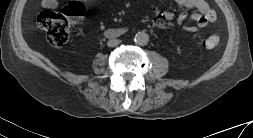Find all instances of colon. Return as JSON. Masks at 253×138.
<instances>
[{"label":"colon","instance_id":"obj_1","mask_svg":"<svg viewBox=\"0 0 253 138\" xmlns=\"http://www.w3.org/2000/svg\"><path fill=\"white\" fill-rule=\"evenodd\" d=\"M86 14L83 3L74 1L69 3L61 12L46 10L38 17V24L48 31L50 42L58 47L64 46L70 37L71 25L79 22ZM219 43L217 35H209L204 40L206 48H213Z\"/></svg>","mask_w":253,"mask_h":138}]
</instances>
